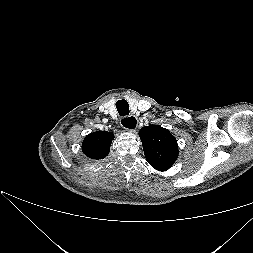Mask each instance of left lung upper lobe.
I'll return each mask as SVG.
<instances>
[{
    "instance_id": "5c2ea615",
    "label": "left lung upper lobe",
    "mask_w": 253,
    "mask_h": 253,
    "mask_svg": "<svg viewBox=\"0 0 253 253\" xmlns=\"http://www.w3.org/2000/svg\"><path fill=\"white\" fill-rule=\"evenodd\" d=\"M144 155L158 171L169 169L178 156V145L169 130L158 125L146 126L139 131Z\"/></svg>"
}]
</instances>
